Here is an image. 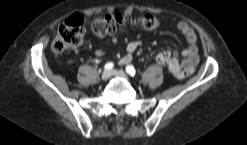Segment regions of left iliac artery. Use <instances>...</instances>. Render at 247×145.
<instances>
[{
    "label": "left iliac artery",
    "instance_id": "left-iliac-artery-1",
    "mask_svg": "<svg viewBox=\"0 0 247 145\" xmlns=\"http://www.w3.org/2000/svg\"><path fill=\"white\" fill-rule=\"evenodd\" d=\"M126 72H127L128 74H130L131 76H134L135 73H136L135 68H134L132 65H128V66L126 67Z\"/></svg>",
    "mask_w": 247,
    "mask_h": 145
}]
</instances>
